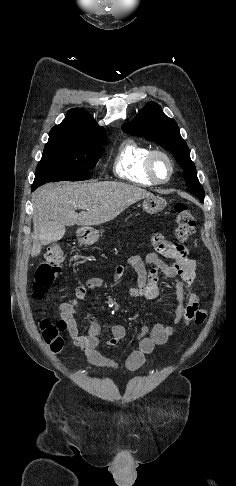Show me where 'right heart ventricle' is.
Instances as JSON below:
<instances>
[{"mask_svg":"<svg viewBox=\"0 0 236 486\" xmlns=\"http://www.w3.org/2000/svg\"><path fill=\"white\" fill-rule=\"evenodd\" d=\"M150 147L138 141H124L115 156L114 171L116 175L128 182L140 186H152L154 183L147 177L144 169L145 159Z\"/></svg>","mask_w":236,"mask_h":486,"instance_id":"obj_1","label":"right heart ventricle"}]
</instances>
